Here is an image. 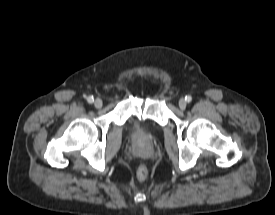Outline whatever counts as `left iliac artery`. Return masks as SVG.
<instances>
[{
    "instance_id": "obj_1",
    "label": "left iliac artery",
    "mask_w": 275,
    "mask_h": 215,
    "mask_svg": "<svg viewBox=\"0 0 275 215\" xmlns=\"http://www.w3.org/2000/svg\"><path fill=\"white\" fill-rule=\"evenodd\" d=\"M185 101H187L188 103L192 101V97L190 95H187L185 97Z\"/></svg>"
}]
</instances>
